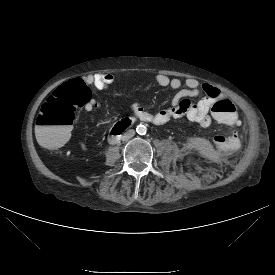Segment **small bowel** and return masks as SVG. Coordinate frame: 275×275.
I'll list each match as a JSON object with an SVG mask.
<instances>
[{
    "label": "small bowel",
    "instance_id": "c3829d8e",
    "mask_svg": "<svg viewBox=\"0 0 275 275\" xmlns=\"http://www.w3.org/2000/svg\"><path fill=\"white\" fill-rule=\"evenodd\" d=\"M84 81L98 89L107 88L115 83L114 76L110 74H94L84 77ZM154 82L162 87H170L177 92L172 98L171 106L161 109L156 113L145 111L140 104L133 103L131 111L135 118L144 122L153 123L154 125H163L166 122L186 117L192 122L197 123L200 127L206 128L212 124L213 118L210 114L211 107L216 99L224 98V95L216 87L204 83L200 84L195 79H187L181 81L178 78H170L165 74H158L154 77ZM204 95L197 102H192L191 98ZM97 102H91L86 106V110H99ZM217 120L229 126L239 125L238 116L229 121H225L219 117ZM243 146V139L240 134L231 132L229 134L220 133L215 136L212 144V150L215 155L227 158L240 151ZM81 147L87 150L85 143H81Z\"/></svg>",
    "mask_w": 275,
    "mask_h": 275
}]
</instances>
